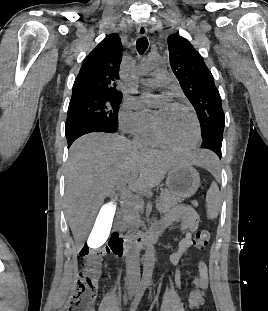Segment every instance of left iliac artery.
Wrapping results in <instances>:
<instances>
[{
	"label": "left iliac artery",
	"instance_id": "left-iliac-artery-1",
	"mask_svg": "<svg viewBox=\"0 0 268 311\" xmlns=\"http://www.w3.org/2000/svg\"><path fill=\"white\" fill-rule=\"evenodd\" d=\"M148 285H151V282H150V281L148 282Z\"/></svg>",
	"mask_w": 268,
	"mask_h": 311
}]
</instances>
